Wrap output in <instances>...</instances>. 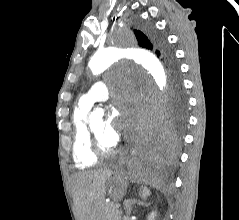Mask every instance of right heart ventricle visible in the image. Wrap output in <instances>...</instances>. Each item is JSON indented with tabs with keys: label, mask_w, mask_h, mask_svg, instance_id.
Here are the masks:
<instances>
[{
	"label": "right heart ventricle",
	"mask_w": 239,
	"mask_h": 220,
	"mask_svg": "<svg viewBox=\"0 0 239 220\" xmlns=\"http://www.w3.org/2000/svg\"><path fill=\"white\" fill-rule=\"evenodd\" d=\"M90 107L79 103L72 115L73 144L72 156L78 168L85 169L96 165L98 157L93 153L88 132L87 113Z\"/></svg>",
	"instance_id": "e07e8e85"
}]
</instances>
